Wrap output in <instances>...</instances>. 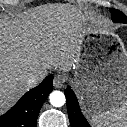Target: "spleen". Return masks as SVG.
Wrapping results in <instances>:
<instances>
[{"label": "spleen", "instance_id": "3e777b00", "mask_svg": "<svg viewBox=\"0 0 127 127\" xmlns=\"http://www.w3.org/2000/svg\"><path fill=\"white\" fill-rule=\"evenodd\" d=\"M91 122L95 127H127V100L120 106L94 114Z\"/></svg>", "mask_w": 127, "mask_h": 127}]
</instances>
